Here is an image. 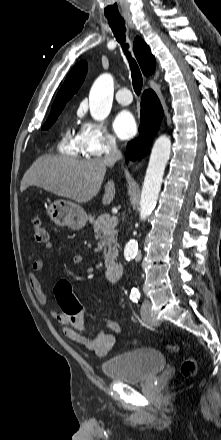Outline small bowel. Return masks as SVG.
<instances>
[{
    "mask_svg": "<svg viewBox=\"0 0 221 440\" xmlns=\"http://www.w3.org/2000/svg\"><path fill=\"white\" fill-rule=\"evenodd\" d=\"M52 248L53 244L47 246L48 250ZM72 262L74 265H80L83 262V255L81 253H75L72 257ZM42 269L43 261L41 259H35L30 266L28 281L37 301L41 305L47 306L48 298L37 277V274L41 272ZM83 309L87 312L84 306ZM87 314L89 313L87 312ZM51 316L63 326V332L69 339L79 343L99 356H105L115 344V335L109 331H101L97 335L86 333L85 321L87 315L84 318L78 315L77 320L72 321L69 319V315H61L60 311L51 310Z\"/></svg>",
    "mask_w": 221,
    "mask_h": 440,
    "instance_id": "1",
    "label": "small bowel"
}]
</instances>
